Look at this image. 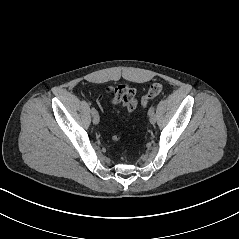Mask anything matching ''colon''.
Here are the masks:
<instances>
[{
	"instance_id": "colon-1",
	"label": "colon",
	"mask_w": 239,
	"mask_h": 239,
	"mask_svg": "<svg viewBox=\"0 0 239 239\" xmlns=\"http://www.w3.org/2000/svg\"><path fill=\"white\" fill-rule=\"evenodd\" d=\"M162 90V85L160 83H154L152 84L147 93L141 98V105L142 107H145L150 99L155 98L160 94ZM104 96L106 95L105 93L103 94ZM114 141H118L121 139L119 135H115L112 137Z\"/></svg>"
}]
</instances>
